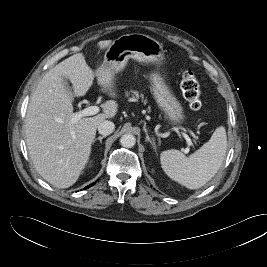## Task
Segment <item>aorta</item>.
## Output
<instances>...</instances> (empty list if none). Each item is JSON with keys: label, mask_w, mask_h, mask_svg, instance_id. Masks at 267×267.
Segmentation results:
<instances>
[{"label": "aorta", "mask_w": 267, "mask_h": 267, "mask_svg": "<svg viewBox=\"0 0 267 267\" xmlns=\"http://www.w3.org/2000/svg\"><path fill=\"white\" fill-rule=\"evenodd\" d=\"M120 143L123 147L126 148H131L135 145L136 143V138L134 135L132 134H124L122 135V137L120 138Z\"/></svg>", "instance_id": "762f6f07"}]
</instances>
